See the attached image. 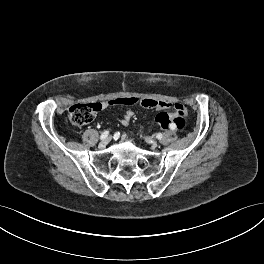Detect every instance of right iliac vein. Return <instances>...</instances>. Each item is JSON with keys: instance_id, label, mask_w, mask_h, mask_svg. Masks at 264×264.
Returning a JSON list of instances; mask_svg holds the SVG:
<instances>
[{"instance_id": "1", "label": "right iliac vein", "mask_w": 264, "mask_h": 264, "mask_svg": "<svg viewBox=\"0 0 264 264\" xmlns=\"http://www.w3.org/2000/svg\"><path fill=\"white\" fill-rule=\"evenodd\" d=\"M113 139V136L112 135H109L107 138H105L104 140H102V142H106L107 144L110 142V140Z\"/></svg>"}]
</instances>
